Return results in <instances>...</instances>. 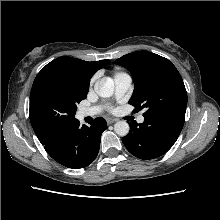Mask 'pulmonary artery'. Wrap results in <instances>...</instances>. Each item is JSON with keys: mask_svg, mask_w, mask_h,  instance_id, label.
Segmentation results:
<instances>
[{"mask_svg": "<svg viewBox=\"0 0 220 220\" xmlns=\"http://www.w3.org/2000/svg\"><path fill=\"white\" fill-rule=\"evenodd\" d=\"M114 82V89H115V97L117 99L123 97L125 93L128 91L131 85V77L127 73H118L113 78ZM101 107H91V108H84L78 112L79 118H84L88 116H95L101 112ZM138 123L144 122V116L140 115L137 118Z\"/></svg>", "mask_w": 220, "mask_h": 220, "instance_id": "e3ab8cb5", "label": "pulmonary artery"}]
</instances>
